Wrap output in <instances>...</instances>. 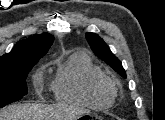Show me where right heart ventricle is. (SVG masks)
Listing matches in <instances>:
<instances>
[{"label":"right heart ventricle","mask_w":165,"mask_h":120,"mask_svg":"<svg viewBox=\"0 0 165 120\" xmlns=\"http://www.w3.org/2000/svg\"><path fill=\"white\" fill-rule=\"evenodd\" d=\"M52 90L58 101L92 108L111 106L116 95L108 77L84 52H74L58 63Z\"/></svg>","instance_id":"right-heart-ventricle-1"}]
</instances>
